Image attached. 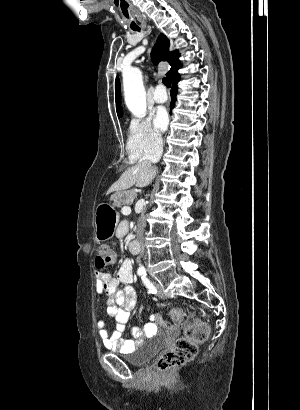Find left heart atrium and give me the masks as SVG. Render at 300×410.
<instances>
[{"instance_id": "1", "label": "left heart atrium", "mask_w": 300, "mask_h": 410, "mask_svg": "<svg viewBox=\"0 0 300 410\" xmlns=\"http://www.w3.org/2000/svg\"><path fill=\"white\" fill-rule=\"evenodd\" d=\"M154 123L157 129L164 130L168 123V113L165 108L160 107L156 110Z\"/></svg>"}]
</instances>
